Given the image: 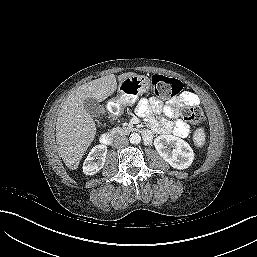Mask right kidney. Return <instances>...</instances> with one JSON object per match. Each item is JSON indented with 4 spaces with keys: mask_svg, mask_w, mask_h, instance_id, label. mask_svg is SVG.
Here are the masks:
<instances>
[{
    "mask_svg": "<svg viewBox=\"0 0 257 257\" xmlns=\"http://www.w3.org/2000/svg\"><path fill=\"white\" fill-rule=\"evenodd\" d=\"M106 154L107 146L101 144L93 147L83 163L84 174L94 175L99 172L105 164Z\"/></svg>",
    "mask_w": 257,
    "mask_h": 257,
    "instance_id": "ca27d5eb",
    "label": "right kidney"
}]
</instances>
